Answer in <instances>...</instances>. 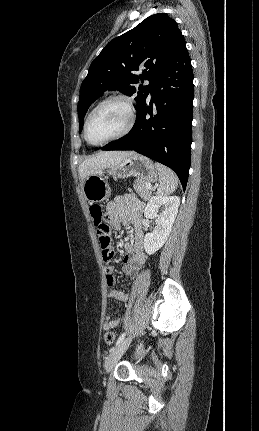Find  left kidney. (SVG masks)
<instances>
[{
    "label": "left kidney",
    "mask_w": 259,
    "mask_h": 431,
    "mask_svg": "<svg viewBox=\"0 0 259 431\" xmlns=\"http://www.w3.org/2000/svg\"><path fill=\"white\" fill-rule=\"evenodd\" d=\"M179 205L180 198L178 196L157 195L147 203L144 216L150 219L156 218L155 228L144 237V249L147 254H154L168 239ZM160 208L162 212L158 214Z\"/></svg>",
    "instance_id": "obj_1"
}]
</instances>
